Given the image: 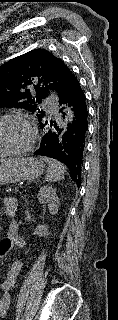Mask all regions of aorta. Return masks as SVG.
<instances>
[{
	"instance_id": "aorta-1",
	"label": "aorta",
	"mask_w": 118,
	"mask_h": 320,
	"mask_svg": "<svg viewBox=\"0 0 118 320\" xmlns=\"http://www.w3.org/2000/svg\"><path fill=\"white\" fill-rule=\"evenodd\" d=\"M73 117L74 116L72 111H68L65 116V124L67 125L68 123H70L73 120Z\"/></svg>"
}]
</instances>
